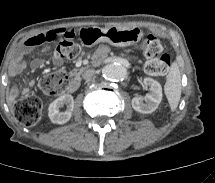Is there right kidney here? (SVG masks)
<instances>
[{
	"label": "right kidney",
	"instance_id": "1",
	"mask_svg": "<svg viewBox=\"0 0 215 183\" xmlns=\"http://www.w3.org/2000/svg\"><path fill=\"white\" fill-rule=\"evenodd\" d=\"M67 105V108L64 112H60V108ZM74 109L73 97L70 94H64L54 100L48 107V116L51 122L55 124H65L67 123Z\"/></svg>",
	"mask_w": 215,
	"mask_h": 183
}]
</instances>
